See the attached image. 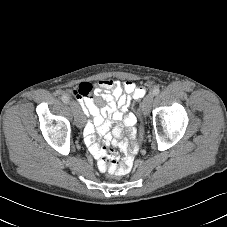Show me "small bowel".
Here are the masks:
<instances>
[{
	"label": "small bowel",
	"mask_w": 227,
	"mask_h": 227,
	"mask_svg": "<svg viewBox=\"0 0 227 227\" xmlns=\"http://www.w3.org/2000/svg\"><path fill=\"white\" fill-rule=\"evenodd\" d=\"M144 93V89L133 81L113 79H102L95 84L85 82L73 90L84 113L92 117L86 123L83 133L85 144L95 159L99 161L102 155L108 153L106 148L110 145L119 147L126 156L137 152V144L129 148L127 141L121 138L125 130L131 138H135L136 117L129 112V105L132 100L142 98ZM97 137L102 140V145ZM98 166L101 171H105L101 164L98 163Z\"/></svg>",
	"instance_id": "c3829d8e"
}]
</instances>
